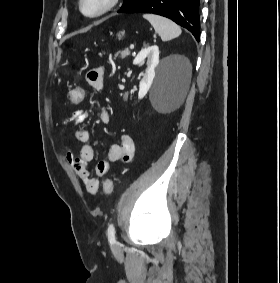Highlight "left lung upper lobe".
<instances>
[{"label": "left lung upper lobe", "mask_w": 280, "mask_h": 283, "mask_svg": "<svg viewBox=\"0 0 280 283\" xmlns=\"http://www.w3.org/2000/svg\"><path fill=\"white\" fill-rule=\"evenodd\" d=\"M137 0H124L123 5L119 12L126 10L128 7H130L132 4H134Z\"/></svg>", "instance_id": "left-lung-upper-lobe-1"}]
</instances>
